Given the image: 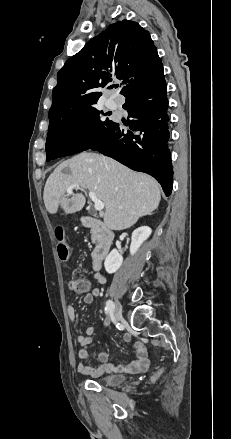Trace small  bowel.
Masks as SVG:
<instances>
[{
    "mask_svg": "<svg viewBox=\"0 0 231 439\" xmlns=\"http://www.w3.org/2000/svg\"><path fill=\"white\" fill-rule=\"evenodd\" d=\"M94 278L102 285L106 284V278L100 274L99 272H95ZM100 295V289L92 288L85 292L83 301L85 304H91L96 297ZM67 313L71 322H75L76 319V311L73 305H68ZM85 335H78L76 340L79 345V357L82 360H87L90 357V344L92 342V336L94 334V328L92 326L87 327ZM123 340L125 342H129L131 340V336L126 333L123 336ZM136 358L132 362L127 365H113L108 362V355L105 352H101L99 354L100 364L98 366H91L85 363H80L78 365V371L84 375L91 377H98L105 373H122V372H130V373H138L145 371L149 366V359L147 356V349L141 342H136L133 345Z\"/></svg>",
    "mask_w": 231,
    "mask_h": 439,
    "instance_id": "c3829d8e",
    "label": "small bowel"
}]
</instances>
